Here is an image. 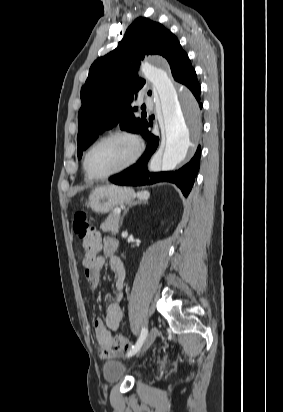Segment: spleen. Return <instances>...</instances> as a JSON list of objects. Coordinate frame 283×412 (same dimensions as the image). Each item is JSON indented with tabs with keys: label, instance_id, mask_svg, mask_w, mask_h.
<instances>
[{
	"label": "spleen",
	"instance_id": "3e777b00",
	"mask_svg": "<svg viewBox=\"0 0 283 412\" xmlns=\"http://www.w3.org/2000/svg\"><path fill=\"white\" fill-rule=\"evenodd\" d=\"M149 192L148 191H141L137 193V196L142 199V200H147L149 198Z\"/></svg>",
	"mask_w": 283,
	"mask_h": 412
}]
</instances>
